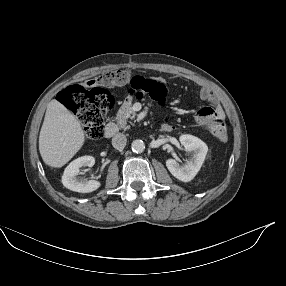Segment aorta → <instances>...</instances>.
<instances>
[{
  "instance_id": "762f6f07",
  "label": "aorta",
  "mask_w": 286,
  "mask_h": 286,
  "mask_svg": "<svg viewBox=\"0 0 286 286\" xmlns=\"http://www.w3.org/2000/svg\"><path fill=\"white\" fill-rule=\"evenodd\" d=\"M131 147L135 153H142L145 150V144L142 140H134Z\"/></svg>"
}]
</instances>
